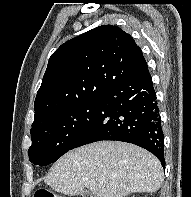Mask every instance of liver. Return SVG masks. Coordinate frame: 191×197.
Here are the masks:
<instances>
[{
    "instance_id": "6515ba94",
    "label": "liver",
    "mask_w": 191,
    "mask_h": 197,
    "mask_svg": "<svg viewBox=\"0 0 191 197\" xmlns=\"http://www.w3.org/2000/svg\"><path fill=\"white\" fill-rule=\"evenodd\" d=\"M44 182L68 196L88 189L96 197H124L156 192L163 182L160 161L147 150L119 141H100L59 158Z\"/></svg>"
}]
</instances>
